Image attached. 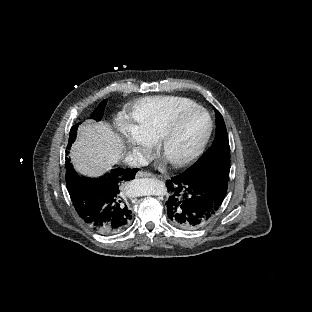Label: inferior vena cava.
<instances>
[{"label": "inferior vena cava", "instance_id": "602c4592", "mask_svg": "<svg viewBox=\"0 0 312 312\" xmlns=\"http://www.w3.org/2000/svg\"><path fill=\"white\" fill-rule=\"evenodd\" d=\"M148 162L149 159L139 150H133L132 155H128L125 159V163L132 167L146 166Z\"/></svg>", "mask_w": 312, "mask_h": 312}]
</instances>
